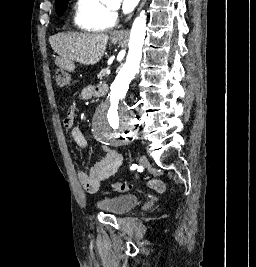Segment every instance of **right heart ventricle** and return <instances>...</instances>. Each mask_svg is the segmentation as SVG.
<instances>
[{
  "label": "right heart ventricle",
  "mask_w": 256,
  "mask_h": 267,
  "mask_svg": "<svg viewBox=\"0 0 256 267\" xmlns=\"http://www.w3.org/2000/svg\"><path fill=\"white\" fill-rule=\"evenodd\" d=\"M78 9H84V21L77 22L86 36H106L101 33L100 26L109 10V0H79Z\"/></svg>",
  "instance_id": "1"
}]
</instances>
